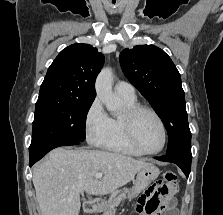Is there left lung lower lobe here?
<instances>
[{"label":"left lung lower lobe","instance_id":"0a47b994","mask_svg":"<svg viewBox=\"0 0 223 215\" xmlns=\"http://www.w3.org/2000/svg\"><path fill=\"white\" fill-rule=\"evenodd\" d=\"M155 159L164 161V162H171L175 163L178 165L186 177L188 178L191 170V161H192V156L191 157H185V156H177V155H168L166 154L165 156L162 157H155Z\"/></svg>","mask_w":223,"mask_h":215}]
</instances>
